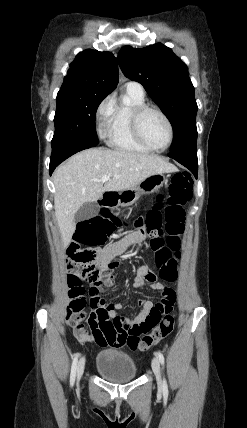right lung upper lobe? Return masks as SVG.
Listing matches in <instances>:
<instances>
[{"mask_svg": "<svg viewBox=\"0 0 247 428\" xmlns=\"http://www.w3.org/2000/svg\"><path fill=\"white\" fill-rule=\"evenodd\" d=\"M118 79L117 59L110 52L88 49L76 56L57 95L89 92L107 96Z\"/></svg>", "mask_w": 247, "mask_h": 428, "instance_id": "1", "label": "right lung upper lobe"}]
</instances>
